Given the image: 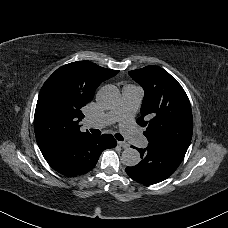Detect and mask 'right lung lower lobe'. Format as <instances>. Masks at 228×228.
Here are the masks:
<instances>
[{
    "label": "right lung lower lobe",
    "mask_w": 228,
    "mask_h": 228,
    "mask_svg": "<svg viewBox=\"0 0 228 228\" xmlns=\"http://www.w3.org/2000/svg\"><path fill=\"white\" fill-rule=\"evenodd\" d=\"M111 134L100 137L85 135L62 143L44 153L48 164L64 176H76L89 172L97 163L101 152L116 147Z\"/></svg>",
    "instance_id": "1"
}]
</instances>
